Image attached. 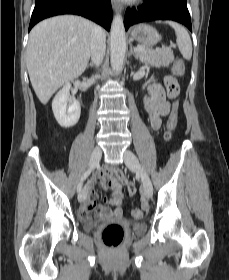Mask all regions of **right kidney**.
<instances>
[{"label": "right kidney", "instance_id": "obj_1", "mask_svg": "<svg viewBox=\"0 0 229 280\" xmlns=\"http://www.w3.org/2000/svg\"><path fill=\"white\" fill-rule=\"evenodd\" d=\"M71 84L67 83L55 95L52 110L57 122L65 128L74 126L81 114L80 103L70 97Z\"/></svg>", "mask_w": 229, "mask_h": 280}]
</instances>
